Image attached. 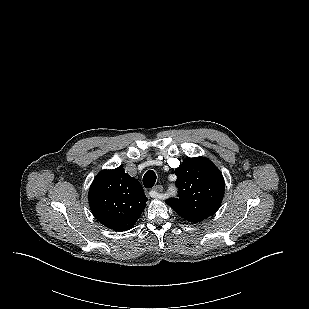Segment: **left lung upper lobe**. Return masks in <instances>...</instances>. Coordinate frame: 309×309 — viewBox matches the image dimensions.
I'll use <instances>...</instances> for the list:
<instances>
[{
  "instance_id": "1",
  "label": "left lung upper lobe",
  "mask_w": 309,
  "mask_h": 309,
  "mask_svg": "<svg viewBox=\"0 0 309 309\" xmlns=\"http://www.w3.org/2000/svg\"><path fill=\"white\" fill-rule=\"evenodd\" d=\"M178 198L165 202L188 222L197 223L215 214L224 196V179L205 157L184 160L175 169Z\"/></svg>"
}]
</instances>
